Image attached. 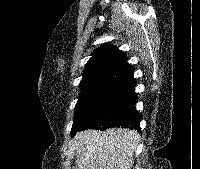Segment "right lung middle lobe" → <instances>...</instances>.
Instances as JSON below:
<instances>
[{
  "label": "right lung middle lobe",
  "instance_id": "1",
  "mask_svg": "<svg viewBox=\"0 0 200 169\" xmlns=\"http://www.w3.org/2000/svg\"><path fill=\"white\" fill-rule=\"evenodd\" d=\"M115 84H103L81 91L75 106V115L71 129L72 136L78 128L108 99Z\"/></svg>",
  "mask_w": 200,
  "mask_h": 169
}]
</instances>
